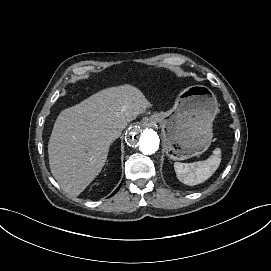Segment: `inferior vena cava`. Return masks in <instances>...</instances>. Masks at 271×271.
<instances>
[{
    "instance_id": "obj_1",
    "label": "inferior vena cava",
    "mask_w": 271,
    "mask_h": 271,
    "mask_svg": "<svg viewBox=\"0 0 271 271\" xmlns=\"http://www.w3.org/2000/svg\"><path fill=\"white\" fill-rule=\"evenodd\" d=\"M120 136V132H117L116 134H113L112 136H111V138L112 139H116V138H118Z\"/></svg>"
}]
</instances>
